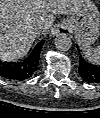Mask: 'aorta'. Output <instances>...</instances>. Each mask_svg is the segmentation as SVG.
Returning <instances> with one entry per match:
<instances>
[{"instance_id": "1", "label": "aorta", "mask_w": 100, "mask_h": 118, "mask_svg": "<svg viewBox=\"0 0 100 118\" xmlns=\"http://www.w3.org/2000/svg\"><path fill=\"white\" fill-rule=\"evenodd\" d=\"M54 44L60 51H68L72 47V41L65 33L58 34L55 38Z\"/></svg>"}]
</instances>
